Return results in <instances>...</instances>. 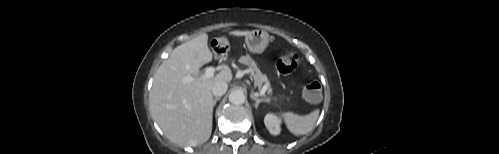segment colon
<instances>
[{"label": "colon", "mask_w": 499, "mask_h": 154, "mask_svg": "<svg viewBox=\"0 0 499 154\" xmlns=\"http://www.w3.org/2000/svg\"><path fill=\"white\" fill-rule=\"evenodd\" d=\"M298 67V55L286 50L277 62L278 71L282 74L293 73ZM322 89L317 81L310 82L304 89V97L307 101L316 103L321 99Z\"/></svg>", "instance_id": "obj_1"}]
</instances>
